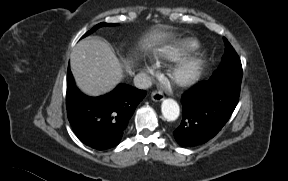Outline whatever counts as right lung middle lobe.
<instances>
[{
    "label": "right lung middle lobe",
    "mask_w": 288,
    "mask_h": 181,
    "mask_svg": "<svg viewBox=\"0 0 288 181\" xmlns=\"http://www.w3.org/2000/svg\"><path fill=\"white\" fill-rule=\"evenodd\" d=\"M109 25H113V24L100 23V24L94 26L90 31H88L87 33H85V34L83 35V37L91 34V33L94 32L96 29H98V28H100V27H102V26H109Z\"/></svg>",
    "instance_id": "dd1d6c3e"
}]
</instances>
